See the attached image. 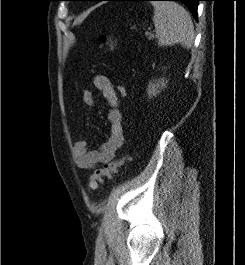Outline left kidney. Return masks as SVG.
Returning a JSON list of instances; mask_svg holds the SVG:
<instances>
[{"instance_id":"left-kidney-1","label":"left kidney","mask_w":245,"mask_h":265,"mask_svg":"<svg viewBox=\"0 0 245 265\" xmlns=\"http://www.w3.org/2000/svg\"><path fill=\"white\" fill-rule=\"evenodd\" d=\"M166 87L164 79H158L156 81L150 82L147 88V94L151 98L160 92V89Z\"/></svg>"}]
</instances>
